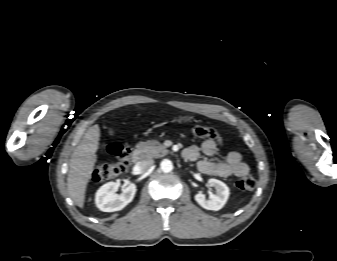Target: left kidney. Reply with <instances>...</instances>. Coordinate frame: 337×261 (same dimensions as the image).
Segmentation results:
<instances>
[{
	"label": "left kidney",
	"instance_id": "obj_1",
	"mask_svg": "<svg viewBox=\"0 0 337 261\" xmlns=\"http://www.w3.org/2000/svg\"><path fill=\"white\" fill-rule=\"evenodd\" d=\"M208 185L215 188L216 193L212 194L209 199L204 194L198 193L195 195V200L204 209L218 211L229 198V188L225 183L214 178L208 180Z\"/></svg>",
	"mask_w": 337,
	"mask_h": 261
}]
</instances>
